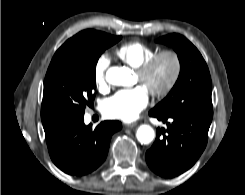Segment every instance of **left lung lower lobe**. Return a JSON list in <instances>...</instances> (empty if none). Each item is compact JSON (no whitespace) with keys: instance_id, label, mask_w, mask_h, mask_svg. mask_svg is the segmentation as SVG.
Listing matches in <instances>:
<instances>
[{"instance_id":"1","label":"left lung lower lobe","mask_w":245,"mask_h":195,"mask_svg":"<svg viewBox=\"0 0 245 195\" xmlns=\"http://www.w3.org/2000/svg\"><path fill=\"white\" fill-rule=\"evenodd\" d=\"M149 115L167 122V130L157 129L156 140L146 152L149 168L167 178L178 176L190 169L206 147L212 117L180 113L160 114L153 110Z\"/></svg>"}]
</instances>
